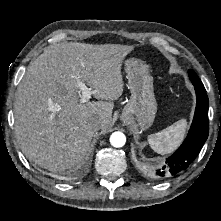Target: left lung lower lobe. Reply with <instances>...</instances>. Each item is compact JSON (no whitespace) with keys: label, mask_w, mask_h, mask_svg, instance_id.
<instances>
[{"label":"left lung lower lobe","mask_w":221,"mask_h":221,"mask_svg":"<svg viewBox=\"0 0 221 221\" xmlns=\"http://www.w3.org/2000/svg\"><path fill=\"white\" fill-rule=\"evenodd\" d=\"M193 85L197 103L191 128L183 144L166 160L165 165L151 172L152 177L156 179L170 178L186 170L207 140L209 134V99L204 85Z\"/></svg>","instance_id":"left-lung-lower-lobe-1"}]
</instances>
